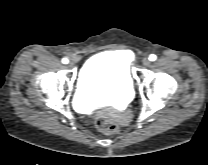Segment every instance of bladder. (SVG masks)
Listing matches in <instances>:
<instances>
[{
    "instance_id": "bladder-1",
    "label": "bladder",
    "mask_w": 208,
    "mask_h": 165,
    "mask_svg": "<svg viewBox=\"0 0 208 165\" xmlns=\"http://www.w3.org/2000/svg\"><path fill=\"white\" fill-rule=\"evenodd\" d=\"M133 94L128 62L121 51L97 53L86 60L76 85L79 102L124 106Z\"/></svg>"
}]
</instances>
